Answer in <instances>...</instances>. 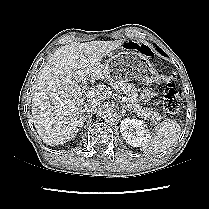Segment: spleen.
<instances>
[{"label": "spleen", "mask_w": 209, "mask_h": 209, "mask_svg": "<svg viewBox=\"0 0 209 209\" xmlns=\"http://www.w3.org/2000/svg\"><path fill=\"white\" fill-rule=\"evenodd\" d=\"M181 131L177 121H164L144 144L143 151L147 154H158L167 150L178 140Z\"/></svg>", "instance_id": "spleen-1"}]
</instances>
